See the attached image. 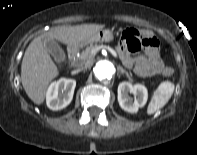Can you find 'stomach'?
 <instances>
[{"label": "stomach", "mask_w": 197, "mask_h": 155, "mask_svg": "<svg viewBox=\"0 0 197 155\" xmlns=\"http://www.w3.org/2000/svg\"><path fill=\"white\" fill-rule=\"evenodd\" d=\"M114 38L113 32L109 29H101L91 37L85 39L82 44L86 45L93 42H110Z\"/></svg>", "instance_id": "obj_1"}]
</instances>
